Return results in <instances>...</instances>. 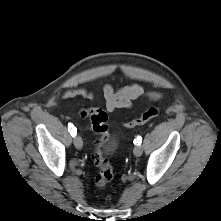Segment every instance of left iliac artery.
<instances>
[{
  "mask_svg": "<svg viewBox=\"0 0 221 221\" xmlns=\"http://www.w3.org/2000/svg\"><path fill=\"white\" fill-rule=\"evenodd\" d=\"M141 142H142V137H141V136H138V137L134 140V144L140 145Z\"/></svg>",
  "mask_w": 221,
  "mask_h": 221,
  "instance_id": "left-iliac-artery-1",
  "label": "left iliac artery"
}]
</instances>
